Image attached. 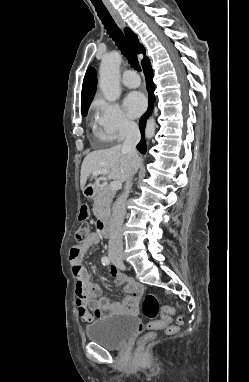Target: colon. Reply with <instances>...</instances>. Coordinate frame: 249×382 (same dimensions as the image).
<instances>
[{
    "label": "colon",
    "mask_w": 249,
    "mask_h": 382,
    "mask_svg": "<svg viewBox=\"0 0 249 382\" xmlns=\"http://www.w3.org/2000/svg\"><path fill=\"white\" fill-rule=\"evenodd\" d=\"M88 210L84 205L80 211L81 219H85L87 217ZM89 236V226L87 223L82 222L75 233V239L78 243H83L87 240ZM142 313L143 315L151 320L152 322H148L146 327L148 329H158V328H166L168 333L175 332L181 325L184 323L183 317H178L176 324L172 325L171 316L174 314V310L169 307H163L161 310L159 308V300L157 295L153 293H148L144 296L142 300ZM160 314L161 318L159 321H154L158 315ZM154 337V333L150 332L143 336L142 340L147 341Z\"/></svg>",
    "instance_id": "colon-1"
}]
</instances>
